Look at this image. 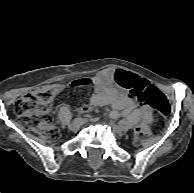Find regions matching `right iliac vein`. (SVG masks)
Instances as JSON below:
<instances>
[{
    "label": "right iliac vein",
    "mask_w": 194,
    "mask_h": 193,
    "mask_svg": "<svg viewBox=\"0 0 194 193\" xmlns=\"http://www.w3.org/2000/svg\"><path fill=\"white\" fill-rule=\"evenodd\" d=\"M83 124L82 121L79 122H75L73 121L70 125H69V129L76 132L80 129V126Z\"/></svg>",
    "instance_id": "obj_1"
}]
</instances>
